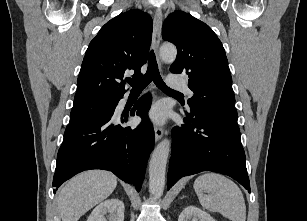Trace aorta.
Listing matches in <instances>:
<instances>
[{"mask_svg":"<svg viewBox=\"0 0 307 221\" xmlns=\"http://www.w3.org/2000/svg\"><path fill=\"white\" fill-rule=\"evenodd\" d=\"M160 57L163 61H174L177 49L173 45H165L160 48ZM171 142L162 140L154 149L149 162V192L155 198H160L165 187V173Z\"/></svg>","mask_w":307,"mask_h":221,"instance_id":"762f6f07","label":"aorta"}]
</instances>
